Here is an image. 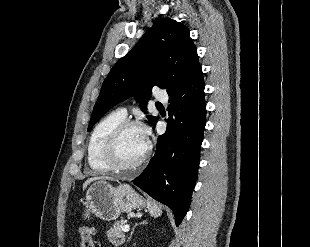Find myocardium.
I'll return each mask as SVG.
<instances>
[{
	"instance_id": "myocardium-1",
	"label": "myocardium",
	"mask_w": 310,
	"mask_h": 247,
	"mask_svg": "<svg viewBox=\"0 0 310 247\" xmlns=\"http://www.w3.org/2000/svg\"><path fill=\"white\" fill-rule=\"evenodd\" d=\"M129 128H139L142 131H144L146 134L145 127L143 126L142 123L138 121H133V120H123L118 125H116L115 128L109 133L104 143L103 151H102V158L105 164L108 166L109 170L113 172H128V171L137 170L140 167H142V165L146 162V160L148 159L150 155L152 144H151L149 137L146 134L147 136L146 150L138 161L130 165H122L118 161V157H117L118 141L121 135L123 134V132Z\"/></svg>"
}]
</instances>
